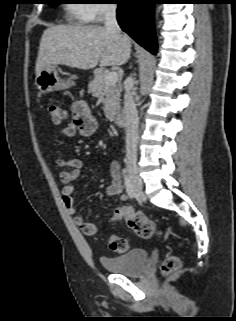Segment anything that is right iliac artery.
<instances>
[{
  "instance_id": "right-iliac-artery-1",
  "label": "right iliac artery",
  "mask_w": 236,
  "mask_h": 321,
  "mask_svg": "<svg viewBox=\"0 0 236 321\" xmlns=\"http://www.w3.org/2000/svg\"><path fill=\"white\" fill-rule=\"evenodd\" d=\"M124 184H125L126 191H127L128 195L130 196V198H133L135 193H134L131 181H130V177L128 175L124 176Z\"/></svg>"
}]
</instances>
